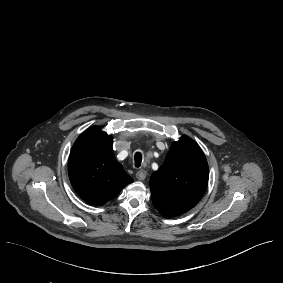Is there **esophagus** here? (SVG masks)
I'll return each instance as SVG.
<instances>
[{
    "mask_svg": "<svg viewBox=\"0 0 283 283\" xmlns=\"http://www.w3.org/2000/svg\"><path fill=\"white\" fill-rule=\"evenodd\" d=\"M146 175H147L146 171L141 169V170L137 171L136 178L138 180H144L146 178Z\"/></svg>",
    "mask_w": 283,
    "mask_h": 283,
    "instance_id": "obj_1",
    "label": "esophagus"
}]
</instances>
